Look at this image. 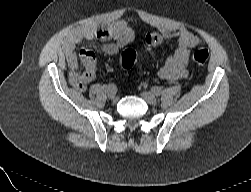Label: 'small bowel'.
I'll return each mask as SVG.
<instances>
[{
    "label": "small bowel",
    "instance_id": "1",
    "mask_svg": "<svg viewBox=\"0 0 251 192\" xmlns=\"http://www.w3.org/2000/svg\"><path fill=\"white\" fill-rule=\"evenodd\" d=\"M165 38H177V48L170 55L162 68L158 71L160 79L175 82L186 80L188 77L187 65L191 50L201 43V39L186 28L166 27L162 29ZM133 38L131 25L126 22H117L111 26L96 29L76 31L64 42V52L69 65V81L80 92L86 90L87 85L94 79L97 71L96 56L91 49L80 52L81 61L85 67L80 70V64L75 53V46L84 40L98 39L103 41L100 46L102 52L115 55Z\"/></svg>",
    "mask_w": 251,
    "mask_h": 192
}]
</instances>
